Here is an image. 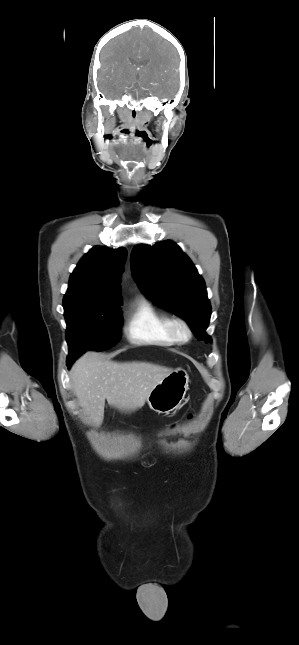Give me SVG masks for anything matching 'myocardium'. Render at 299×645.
<instances>
[{
  "label": "myocardium",
  "instance_id": "obj_1",
  "mask_svg": "<svg viewBox=\"0 0 299 645\" xmlns=\"http://www.w3.org/2000/svg\"><path fill=\"white\" fill-rule=\"evenodd\" d=\"M168 332L172 339L178 343H186L192 338V329L189 323L181 317L169 319Z\"/></svg>",
  "mask_w": 299,
  "mask_h": 645
}]
</instances>
